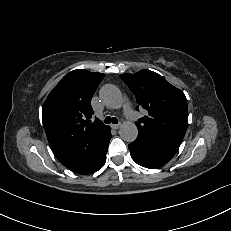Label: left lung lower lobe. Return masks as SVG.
<instances>
[{
  "label": "left lung lower lobe",
  "mask_w": 231,
  "mask_h": 231,
  "mask_svg": "<svg viewBox=\"0 0 231 231\" xmlns=\"http://www.w3.org/2000/svg\"><path fill=\"white\" fill-rule=\"evenodd\" d=\"M178 148L139 134L137 139L129 144L132 159L137 164L150 169L165 165L175 155Z\"/></svg>",
  "instance_id": "obj_1"
}]
</instances>
